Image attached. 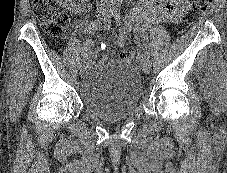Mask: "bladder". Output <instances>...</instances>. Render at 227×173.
Returning a JSON list of instances; mask_svg holds the SVG:
<instances>
[{
	"label": "bladder",
	"mask_w": 227,
	"mask_h": 173,
	"mask_svg": "<svg viewBox=\"0 0 227 173\" xmlns=\"http://www.w3.org/2000/svg\"><path fill=\"white\" fill-rule=\"evenodd\" d=\"M79 97L90 114L106 121H118L139 108L143 97L142 78L133 64L108 59L84 75Z\"/></svg>",
	"instance_id": "31cf9c89"
}]
</instances>
